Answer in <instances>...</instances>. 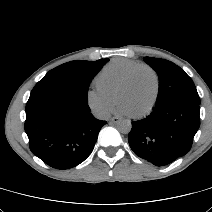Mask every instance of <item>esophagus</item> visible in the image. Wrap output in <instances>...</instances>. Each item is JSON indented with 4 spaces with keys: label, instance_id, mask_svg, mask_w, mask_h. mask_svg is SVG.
I'll return each mask as SVG.
<instances>
[{
    "label": "esophagus",
    "instance_id": "1",
    "mask_svg": "<svg viewBox=\"0 0 212 212\" xmlns=\"http://www.w3.org/2000/svg\"><path fill=\"white\" fill-rule=\"evenodd\" d=\"M111 122L114 123V124H117L120 122V118L119 117H113L111 118Z\"/></svg>",
    "mask_w": 212,
    "mask_h": 212
}]
</instances>
